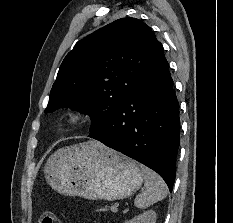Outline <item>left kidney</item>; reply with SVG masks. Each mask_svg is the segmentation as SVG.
Masks as SVG:
<instances>
[{"label": "left kidney", "mask_w": 233, "mask_h": 223, "mask_svg": "<svg viewBox=\"0 0 233 223\" xmlns=\"http://www.w3.org/2000/svg\"><path fill=\"white\" fill-rule=\"evenodd\" d=\"M125 223H156V211H153V209H147L144 213L136 215V217L129 219V221H125Z\"/></svg>", "instance_id": "1"}]
</instances>
